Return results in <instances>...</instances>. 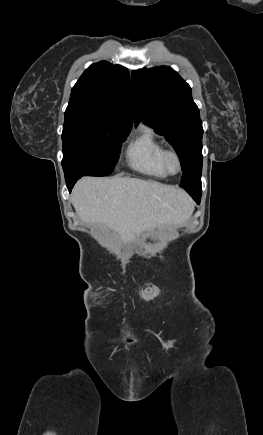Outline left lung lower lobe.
Returning a JSON list of instances; mask_svg holds the SVG:
<instances>
[{"label": "left lung lower lobe", "instance_id": "left-lung-lower-lobe-1", "mask_svg": "<svg viewBox=\"0 0 263 435\" xmlns=\"http://www.w3.org/2000/svg\"><path fill=\"white\" fill-rule=\"evenodd\" d=\"M185 190L192 196V198L195 200L197 204H200V198H201V184H198L196 186H189L184 187Z\"/></svg>", "mask_w": 263, "mask_h": 435}]
</instances>
